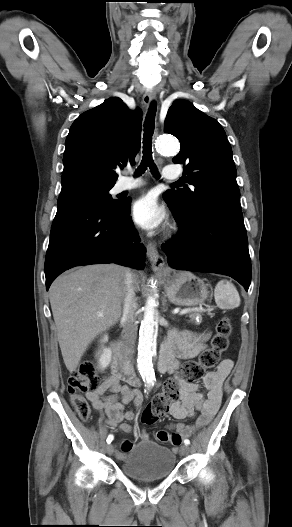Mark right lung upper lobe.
I'll return each mask as SVG.
<instances>
[{
  "mask_svg": "<svg viewBox=\"0 0 292 527\" xmlns=\"http://www.w3.org/2000/svg\"><path fill=\"white\" fill-rule=\"evenodd\" d=\"M141 111H131L118 97L84 112L65 141L62 182L85 177L115 184L118 165H134L140 150Z\"/></svg>",
  "mask_w": 292,
  "mask_h": 527,
  "instance_id": "1",
  "label": "right lung upper lobe"
}]
</instances>
